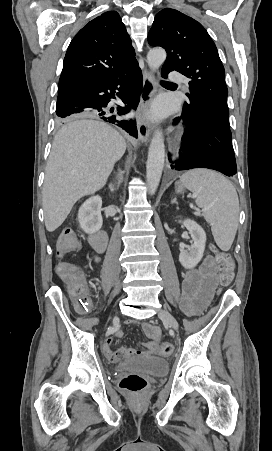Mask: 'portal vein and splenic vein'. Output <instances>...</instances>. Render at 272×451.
<instances>
[{
	"label": "portal vein and splenic vein",
	"instance_id": "portal-vein-and-splenic-vein-1",
	"mask_svg": "<svg viewBox=\"0 0 272 451\" xmlns=\"http://www.w3.org/2000/svg\"><path fill=\"white\" fill-rule=\"evenodd\" d=\"M193 198H196L195 194H193Z\"/></svg>",
	"mask_w": 272,
	"mask_h": 451
}]
</instances>
